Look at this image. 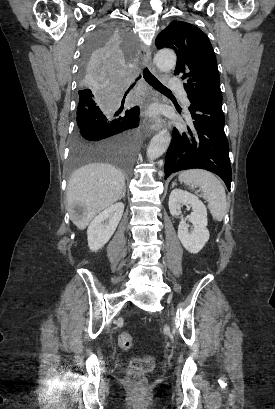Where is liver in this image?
Listing matches in <instances>:
<instances>
[{"mask_svg":"<svg viewBox=\"0 0 275 409\" xmlns=\"http://www.w3.org/2000/svg\"><path fill=\"white\" fill-rule=\"evenodd\" d=\"M125 178L122 170L107 162H90L77 168L71 174L67 186V202L72 205H84L86 215L82 221H73L83 231L90 221L118 200L124 188Z\"/></svg>","mask_w":275,"mask_h":409,"instance_id":"1","label":"liver"}]
</instances>
